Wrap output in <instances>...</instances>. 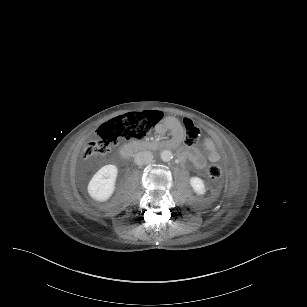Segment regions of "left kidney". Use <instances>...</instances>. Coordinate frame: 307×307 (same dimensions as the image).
I'll use <instances>...</instances> for the list:
<instances>
[{
	"label": "left kidney",
	"instance_id": "left-kidney-1",
	"mask_svg": "<svg viewBox=\"0 0 307 307\" xmlns=\"http://www.w3.org/2000/svg\"><path fill=\"white\" fill-rule=\"evenodd\" d=\"M189 184L192 187L194 193L197 195H204L206 193L205 183L200 177H190Z\"/></svg>",
	"mask_w": 307,
	"mask_h": 307
}]
</instances>
